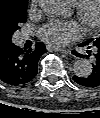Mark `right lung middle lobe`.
Segmentation results:
<instances>
[{"mask_svg":"<svg viewBox=\"0 0 100 118\" xmlns=\"http://www.w3.org/2000/svg\"><path fill=\"white\" fill-rule=\"evenodd\" d=\"M28 0H0V45L11 42L12 34L26 22Z\"/></svg>","mask_w":100,"mask_h":118,"instance_id":"dd1d6c3e","label":"right lung middle lobe"}]
</instances>
